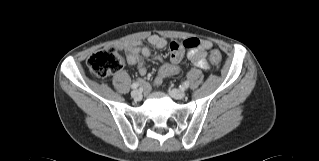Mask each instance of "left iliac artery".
Returning a JSON list of instances; mask_svg holds the SVG:
<instances>
[{
  "mask_svg": "<svg viewBox=\"0 0 319 161\" xmlns=\"http://www.w3.org/2000/svg\"><path fill=\"white\" fill-rule=\"evenodd\" d=\"M183 89H187L189 87V82L185 81L182 85Z\"/></svg>",
  "mask_w": 319,
  "mask_h": 161,
  "instance_id": "1",
  "label": "left iliac artery"
}]
</instances>
